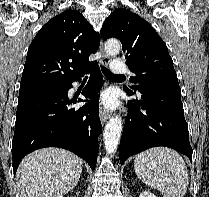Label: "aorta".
Listing matches in <instances>:
<instances>
[{"label":"aorta","mask_w":209,"mask_h":197,"mask_svg":"<svg viewBox=\"0 0 209 197\" xmlns=\"http://www.w3.org/2000/svg\"><path fill=\"white\" fill-rule=\"evenodd\" d=\"M121 49L120 42L115 39H109L105 42V51L108 55H117ZM122 120L119 116L112 117L106 124L104 130V144L108 154H112L117 150L121 133Z\"/></svg>","instance_id":"aorta-1"}]
</instances>
